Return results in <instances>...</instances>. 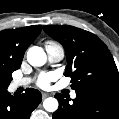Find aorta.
<instances>
[{"instance_id":"obj_1","label":"aorta","mask_w":119,"mask_h":119,"mask_svg":"<svg viewBox=\"0 0 119 119\" xmlns=\"http://www.w3.org/2000/svg\"><path fill=\"white\" fill-rule=\"evenodd\" d=\"M46 59V53L41 47L33 46L27 52V60L32 66H43ZM43 107L48 112H55L58 108V101L53 97H49L44 100Z\"/></svg>"}]
</instances>
